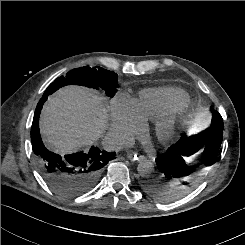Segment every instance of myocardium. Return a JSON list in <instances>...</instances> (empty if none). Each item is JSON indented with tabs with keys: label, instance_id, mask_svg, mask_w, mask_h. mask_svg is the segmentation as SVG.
<instances>
[{
	"label": "myocardium",
	"instance_id": "myocardium-1",
	"mask_svg": "<svg viewBox=\"0 0 245 245\" xmlns=\"http://www.w3.org/2000/svg\"><path fill=\"white\" fill-rule=\"evenodd\" d=\"M180 121V113L170 114L158 119L155 123L154 132L160 142H168L176 133Z\"/></svg>",
	"mask_w": 245,
	"mask_h": 245
}]
</instances>
